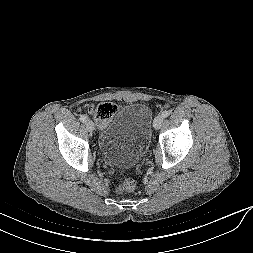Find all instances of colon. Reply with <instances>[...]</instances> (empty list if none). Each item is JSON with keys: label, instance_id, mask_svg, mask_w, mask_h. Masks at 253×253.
<instances>
[{"label": "colon", "instance_id": "1", "mask_svg": "<svg viewBox=\"0 0 253 253\" xmlns=\"http://www.w3.org/2000/svg\"><path fill=\"white\" fill-rule=\"evenodd\" d=\"M89 112L93 114L95 120L103 125L105 124L116 110V105L111 102H104L96 107H89ZM135 182L132 179H125L121 181L116 190L118 194H127L134 190Z\"/></svg>", "mask_w": 253, "mask_h": 253}]
</instances>
